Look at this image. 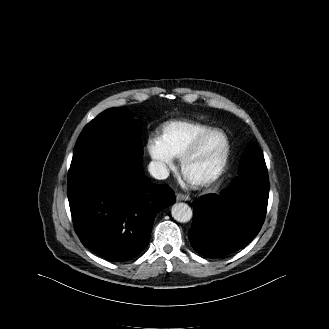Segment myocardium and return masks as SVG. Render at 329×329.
<instances>
[{
  "label": "myocardium",
  "instance_id": "f54148a6",
  "mask_svg": "<svg viewBox=\"0 0 329 329\" xmlns=\"http://www.w3.org/2000/svg\"><path fill=\"white\" fill-rule=\"evenodd\" d=\"M222 134L225 138V150L218 168L208 177L200 180H193L186 176L185 170L188 162L198 153L202 144L213 134ZM231 156V141L227 133L219 128H211L198 136L188 149L180 157V172L184 178L195 187H207L216 182L225 172Z\"/></svg>",
  "mask_w": 329,
  "mask_h": 329
}]
</instances>
